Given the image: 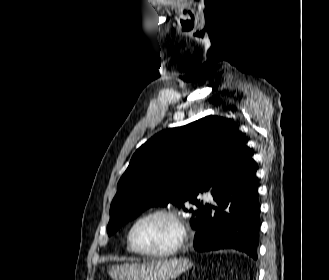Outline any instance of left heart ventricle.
I'll return each mask as SVG.
<instances>
[{"mask_svg": "<svg viewBox=\"0 0 329 280\" xmlns=\"http://www.w3.org/2000/svg\"><path fill=\"white\" fill-rule=\"evenodd\" d=\"M177 240L173 222L163 216L142 221L134 231V242L140 249L160 251L171 247Z\"/></svg>", "mask_w": 329, "mask_h": 280, "instance_id": "1", "label": "left heart ventricle"}]
</instances>
